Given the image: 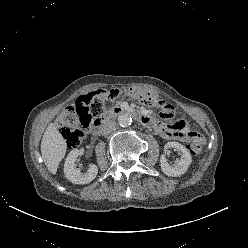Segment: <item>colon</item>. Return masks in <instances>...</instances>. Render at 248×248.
<instances>
[{
    "instance_id": "1",
    "label": "colon",
    "mask_w": 248,
    "mask_h": 248,
    "mask_svg": "<svg viewBox=\"0 0 248 248\" xmlns=\"http://www.w3.org/2000/svg\"><path fill=\"white\" fill-rule=\"evenodd\" d=\"M125 92L134 94L143 104L158 109L164 121L171 122L174 119L175 108L151 92L116 88L108 92L84 94L76 100L73 106L65 108L57 118V124L62 130L68 147L74 149L80 145L93 121L105 112V99L113 100ZM188 148L192 155H199L203 148L202 138L194 139Z\"/></svg>"
}]
</instances>
